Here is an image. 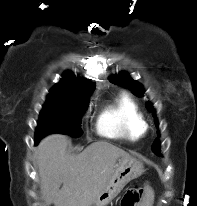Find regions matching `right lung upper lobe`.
Instances as JSON below:
<instances>
[{"label":"right lung upper lobe","instance_id":"right-lung-upper-lobe-1","mask_svg":"<svg viewBox=\"0 0 197 206\" xmlns=\"http://www.w3.org/2000/svg\"><path fill=\"white\" fill-rule=\"evenodd\" d=\"M94 83L82 78H76L71 72H66L60 82L50 91V94H71L81 97L92 94Z\"/></svg>","mask_w":197,"mask_h":206}]
</instances>
